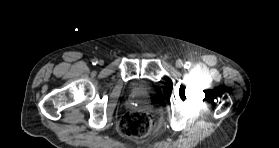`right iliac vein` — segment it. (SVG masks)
<instances>
[{"instance_id":"obj_1","label":"right iliac vein","mask_w":279,"mask_h":148,"mask_svg":"<svg viewBox=\"0 0 279 148\" xmlns=\"http://www.w3.org/2000/svg\"><path fill=\"white\" fill-rule=\"evenodd\" d=\"M99 63H100V65H102V64H103V61H100Z\"/></svg>"}]
</instances>
